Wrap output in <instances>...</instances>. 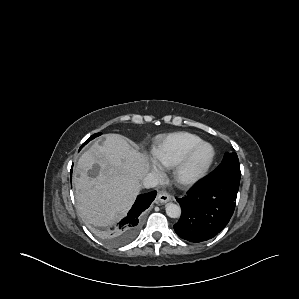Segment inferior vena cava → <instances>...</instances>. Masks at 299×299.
Returning <instances> with one entry per match:
<instances>
[{"instance_id":"obj_1","label":"inferior vena cava","mask_w":299,"mask_h":299,"mask_svg":"<svg viewBox=\"0 0 299 299\" xmlns=\"http://www.w3.org/2000/svg\"><path fill=\"white\" fill-rule=\"evenodd\" d=\"M159 184L158 178L152 174H147L143 179V185L146 188H154Z\"/></svg>"}]
</instances>
